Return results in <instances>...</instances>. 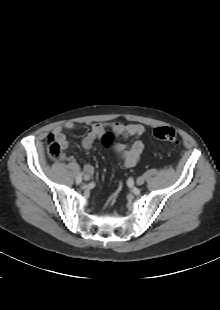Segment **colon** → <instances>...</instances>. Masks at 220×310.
<instances>
[{
	"label": "colon",
	"mask_w": 220,
	"mask_h": 310,
	"mask_svg": "<svg viewBox=\"0 0 220 310\" xmlns=\"http://www.w3.org/2000/svg\"><path fill=\"white\" fill-rule=\"evenodd\" d=\"M153 137L168 143H175L177 141V135L173 128L163 126L154 129ZM116 133L113 131L106 132L101 137V142L104 146L109 147L115 140ZM46 150L49 158L54 161L61 160L64 156V148L57 138L51 134L46 142Z\"/></svg>",
	"instance_id": "5ec220e1"
}]
</instances>
